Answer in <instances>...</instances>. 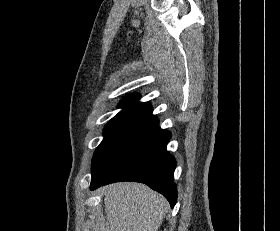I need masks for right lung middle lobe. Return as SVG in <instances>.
Segmentation results:
<instances>
[{"label": "right lung middle lobe", "mask_w": 280, "mask_h": 231, "mask_svg": "<svg viewBox=\"0 0 280 231\" xmlns=\"http://www.w3.org/2000/svg\"><path fill=\"white\" fill-rule=\"evenodd\" d=\"M134 125L129 122L123 121H113L110 120L104 128L103 134L104 139L101 144L97 147L93 158L111 141H113L116 137L121 135L126 130L130 129Z\"/></svg>", "instance_id": "obj_1"}]
</instances>
